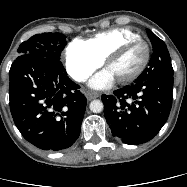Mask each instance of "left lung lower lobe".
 <instances>
[{"label": "left lung lower lobe", "instance_id": "0a47b994", "mask_svg": "<svg viewBox=\"0 0 187 187\" xmlns=\"http://www.w3.org/2000/svg\"><path fill=\"white\" fill-rule=\"evenodd\" d=\"M173 76L136 82L102 95L112 135L137 145L151 140L166 123L172 105Z\"/></svg>", "mask_w": 187, "mask_h": 187}]
</instances>
